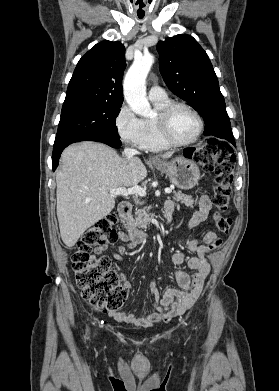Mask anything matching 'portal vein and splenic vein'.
Masks as SVG:
<instances>
[{
	"mask_svg": "<svg viewBox=\"0 0 279 391\" xmlns=\"http://www.w3.org/2000/svg\"><path fill=\"white\" fill-rule=\"evenodd\" d=\"M109 192H110V194L115 195V196H117V195L128 196V195H132V194H138L141 197L146 196V190L144 188H142L141 186H137V185L130 187L128 189H126L124 187L110 189ZM165 193L171 194L172 190L170 188H166Z\"/></svg>",
	"mask_w": 279,
	"mask_h": 391,
	"instance_id": "portal-vein-and-splenic-vein-1",
	"label": "portal vein and splenic vein"
}]
</instances>
